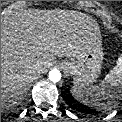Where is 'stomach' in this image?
I'll list each match as a JSON object with an SVG mask.
<instances>
[{"instance_id": "1", "label": "stomach", "mask_w": 122, "mask_h": 122, "mask_svg": "<svg viewBox=\"0 0 122 122\" xmlns=\"http://www.w3.org/2000/svg\"><path fill=\"white\" fill-rule=\"evenodd\" d=\"M102 61V47L94 46L75 59L61 61L60 66L73 77L74 85L82 89L97 80L101 72Z\"/></svg>"}]
</instances>
